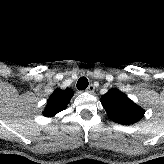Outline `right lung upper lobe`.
<instances>
[{"mask_svg": "<svg viewBox=\"0 0 164 164\" xmlns=\"http://www.w3.org/2000/svg\"><path fill=\"white\" fill-rule=\"evenodd\" d=\"M73 94L74 92L70 88L65 90L56 89L49 97L43 115L46 117H53L57 113L65 110Z\"/></svg>", "mask_w": 164, "mask_h": 164, "instance_id": "right-lung-upper-lobe-1", "label": "right lung upper lobe"}]
</instances>
